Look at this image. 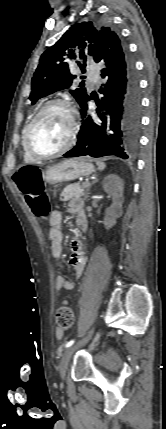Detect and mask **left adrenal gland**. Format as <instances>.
<instances>
[{
    "label": "left adrenal gland",
    "mask_w": 166,
    "mask_h": 429,
    "mask_svg": "<svg viewBox=\"0 0 166 429\" xmlns=\"http://www.w3.org/2000/svg\"><path fill=\"white\" fill-rule=\"evenodd\" d=\"M95 182H97V179H95V180L92 182V184H93V183H95ZM92 184H90V185L87 187L85 198L87 197V194H88L89 188H90V186H91Z\"/></svg>",
    "instance_id": "a2214340"
}]
</instances>
